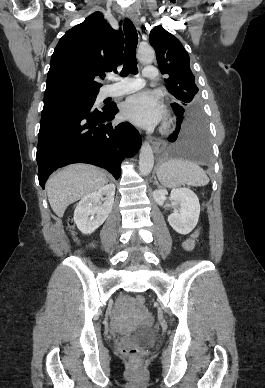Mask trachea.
Returning a JSON list of instances; mask_svg holds the SVG:
<instances>
[{
    "instance_id": "trachea-1",
    "label": "trachea",
    "mask_w": 265,
    "mask_h": 388,
    "mask_svg": "<svg viewBox=\"0 0 265 388\" xmlns=\"http://www.w3.org/2000/svg\"><path fill=\"white\" fill-rule=\"evenodd\" d=\"M124 33L126 37V45L124 49V66L121 76H126L128 73H137L136 47L138 43L137 30L129 18L124 20Z\"/></svg>"
}]
</instances>
